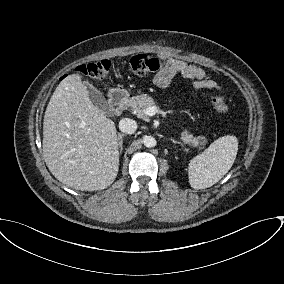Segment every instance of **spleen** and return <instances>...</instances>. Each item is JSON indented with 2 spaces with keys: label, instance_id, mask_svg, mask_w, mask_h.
Here are the masks:
<instances>
[{
  "label": "spleen",
  "instance_id": "spleen-1",
  "mask_svg": "<svg viewBox=\"0 0 284 284\" xmlns=\"http://www.w3.org/2000/svg\"><path fill=\"white\" fill-rule=\"evenodd\" d=\"M238 151L235 136L215 140L199 155L190 160L189 183L194 189H205L217 183L232 167Z\"/></svg>",
  "mask_w": 284,
  "mask_h": 284
}]
</instances>
